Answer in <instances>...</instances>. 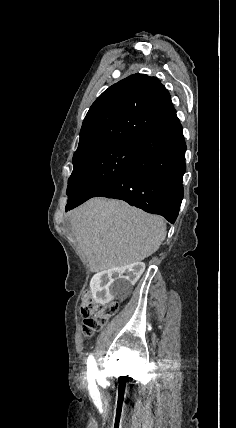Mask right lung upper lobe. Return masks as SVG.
Instances as JSON below:
<instances>
[{"mask_svg":"<svg viewBox=\"0 0 236 428\" xmlns=\"http://www.w3.org/2000/svg\"><path fill=\"white\" fill-rule=\"evenodd\" d=\"M176 110L156 77L133 74L105 90L90 107L73 163L126 140H138Z\"/></svg>","mask_w":236,"mask_h":428,"instance_id":"obj_1","label":"right lung upper lobe"}]
</instances>
